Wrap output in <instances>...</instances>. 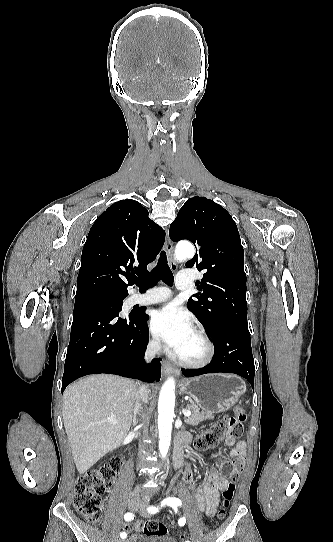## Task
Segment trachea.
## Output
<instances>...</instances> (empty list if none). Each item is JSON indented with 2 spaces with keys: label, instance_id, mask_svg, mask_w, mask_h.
<instances>
[{
  "label": "trachea",
  "instance_id": "trachea-1",
  "mask_svg": "<svg viewBox=\"0 0 333 542\" xmlns=\"http://www.w3.org/2000/svg\"><path fill=\"white\" fill-rule=\"evenodd\" d=\"M159 280H162L169 286H171L174 281V277L168 266L164 251L161 253L159 261L151 273L147 275V277L136 279L135 283L140 289H148L150 287H154Z\"/></svg>",
  "mask_w": 333,
  "mask_h": 542
}]
</instances>
